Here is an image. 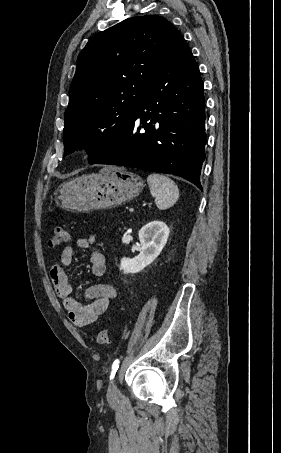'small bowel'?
Wrapping results in <instances>:
<instances>
[{
    "label": "small bowel",
    "mask_w": 281,
    "mask_h": 453,
    "mask_svg": "<svg viewBox=\"0 0 281 453\" xmlns=\"http://www.w3.org/2000/svg\"><path fill=\"white\" fill-rule=\"evenodd\" d=\"M95 238V233L86 238H79L76 246L81 251L90 252V274L93 277H99L106 274V266L104 255L97 250H92ZM73 261L74 249L65 248L61 255V263L52 265L50 278L54 283L55 293L63 302L69 320L76 326H85L95 322L116 299L118 293L107 285L87 287L84 289L83 295L92 301L82 306L72 296V286L66 272V268L70 267Z\"/></svg>",
    "instance_id": "1"
}]
</instances>
